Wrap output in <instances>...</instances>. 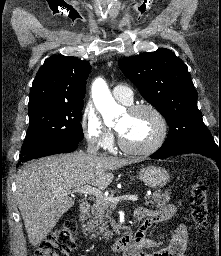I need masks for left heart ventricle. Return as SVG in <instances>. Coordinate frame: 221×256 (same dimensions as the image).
Listing matches in <instances>:
<instances>
[{
    "instance_id": "b2bd125f",
    "label": "left heart ventricle",
    "mask_w": 221,
    "mask_h": 256,
    "mask_svg": "<svg viewBox=\"0 0 221 256\" xmlns=\"http://www.w3.org/2000/svg\"><path fill=\"white\" fill-rule=\"evenodd\" d=\"M158 123L148 111L126 113L119 121L117 130L130 146L143 147L150 144L158 134Z\"/></svg>"
}]
</instances>
